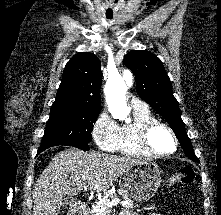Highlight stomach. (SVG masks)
<instances>
[{
  "mask_svg": "<svg viewBox=\"0 0 221 215\" xmlns=\"http://www.w3.org/2000/svg\"><path fill=\"white\" fill-rule=\"evenodd\" d=\"M161 184V171L155 163L140 162L125 170L119 177V188L130 199L146 201L152 198Z\"/></svg>",
  "mask_w": 221,
  "mask_h": 215,
  "instance_id": "1",
  "label": "stomach"
}]
</instances>
